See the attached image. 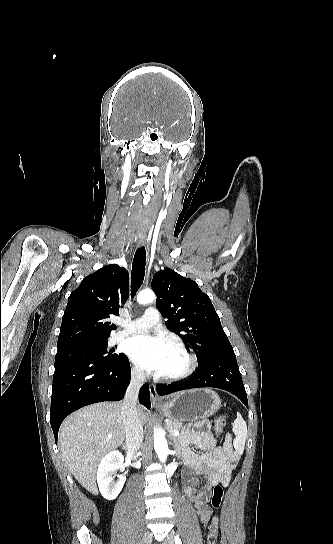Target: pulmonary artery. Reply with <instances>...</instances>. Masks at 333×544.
Returning <instances> with one entry per match:
<instances>
[{"label": "pulmonary artery", "mask_w": 333, "mask_h": 544, "mask_svg": "<svg viewBox=\"0 0 333 544\" xmlns=\"http://www.w3.org/2000/svg\"><path fill=\"white\" fill-rule=\"evenodd\" d=\"M159 319L160 317L157 309L150 307L146 309L144 315L139 318L131 321L119 320L118 324L123 329L112 336L111 342L116 343L128 335L151 328L159 323Z\"/></svg>", "instance_id": "1"}]
</instances>
